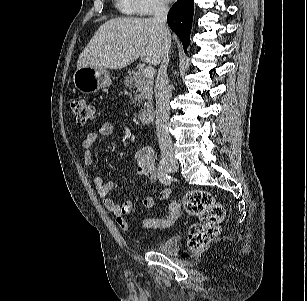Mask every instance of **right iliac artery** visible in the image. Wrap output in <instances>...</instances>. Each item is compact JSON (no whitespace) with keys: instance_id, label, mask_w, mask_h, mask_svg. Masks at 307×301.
<instances>
[{"instance_id":"1","label":"right iliac artery","mask_w":307,"mask_h":301,"mask_svg":"<svg viewBox=\"0 0 307 301\" xmlns=\"http://www.w3.org/2000/svg\"><path fill=\"white\" fill-rule=\"evenodd\" d=\"M158 178L161 183L169 185L171 183V176L168 175L165 168V157L162 156L159 166H158Z\"/></svg>"}]
</instances>
